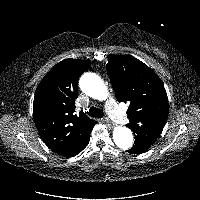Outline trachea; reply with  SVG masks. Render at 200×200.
<instances>
[{
    "label": "trachea",
    "instance_id": "trachea-1",
    "mask_svg": "<svg viewBox=\"0 0 200 200\" xmlns=\"http://www.w3.org/2000/svg\"><path fill=\"white\" fill-rule=\"evenodd\" d=\"M88 114H89V116L95 117V118H103V116H104L103 110L96 108V107H91L89 109Z\"/></svg>",
    "mask_w": 200,
    "mask_h": 200
}]
</instances>
